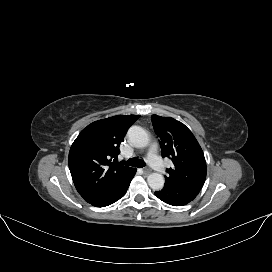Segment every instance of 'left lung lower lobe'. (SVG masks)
Segmentation results:
<instances>
[{"mask_svg":"<svg viewBox=\"0 0 272 272\" xmlns=\"http://www.w3.org/2000/svg\"><path fill=\"white\" fill-rule=\"evenodd\" d=\"M199 191V189H184L164 186L161 191H156L155 195L167 204L182 206L192 201L198 195Z\"/></svg>","mask_w":272,"mask_h":272,"instance_id":"left-lung-lower-lobe-1","label":"left lung lower lobe"}]
</instances>
